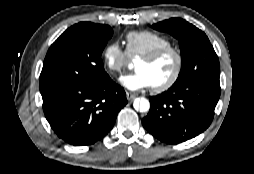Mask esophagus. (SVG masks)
<instances>
[{"mask_svg":"<svg viewBox=\"0 0 254 174\" xmlns=\"http://www.w3.org/2000/svg\"><path fill=\"white\" fill-rule=\"evenodd\" d=\"M126 97H127V99H128L129 101H132V100H134V99L136 98V94L131 93V92H127V93H126Z\"/></svg>","mask_w":254,"mask_h":174,"instance_id":"obj_1","label":"esophagus"}]
</instances>
